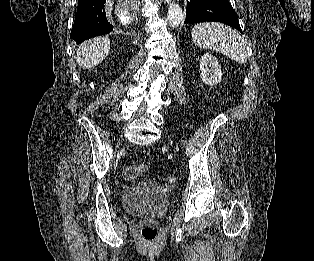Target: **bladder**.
<instances>
[{
	"instance_id": "1",
	"label": "bladder",
	"mask_w": 314,
	"mask_h": 261,
	"mask_svg": "<svg viewBox=\"0 0 314 261\" xmlns=\"http://www.w3.org/2000/svg\"><path fill=\"white\" fill-rule=\"evenodd\" d=\"M169 203V196L159 184L145 181L128 186L122 195L123 207L131 214H148L160 218Z\"/></svg>"
}]
</instances>
